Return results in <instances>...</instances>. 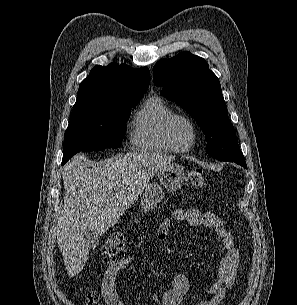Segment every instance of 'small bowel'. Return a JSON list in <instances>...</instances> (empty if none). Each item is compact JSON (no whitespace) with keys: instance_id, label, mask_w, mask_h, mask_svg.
Here are the masks:
<instances>
[{"instance_id":"small-bowel-1","label":"small bowel","mask_w":297,"mask_h":305,"mask_svg":"<svg viewBox=\"0 0 297 305\" xmlns=\"http://www.w3.org/2000/svg\"><path fill=\"white\" fill-rule=\"evenodd\" d=\"M183 222L192 226H202L214 230L221 240L225 255L221 260L214 283L204 288L201 293L208 298L199 301L196 305H221L227 297L239 266L240 255L232 235L226 230L222 220L215 214L198 208H178L172 212L170 218L163 220L158 228V239L164 242L169 234L171 221ZM137 257L127 255L124 260L116 265L109 266L103 277L100 293L93 291L87 296V305H126L120 297L117 280L119 273L135 264ZM191 292L187 275L180 273L174 276L171 288L162 296L153 293V299L158 305H179L183 297Z\"/></svg>"}]
</instances>
